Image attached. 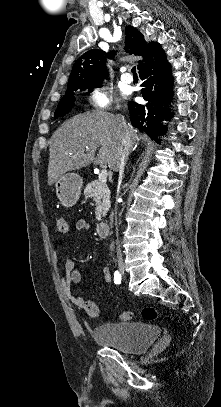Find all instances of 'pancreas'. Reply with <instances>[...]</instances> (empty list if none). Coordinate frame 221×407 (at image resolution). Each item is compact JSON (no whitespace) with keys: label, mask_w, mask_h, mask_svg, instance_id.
Masks as SVG:
<instances>
[{"label":"pancreas","mask_w":221,"mask_h":407,"mask_svg":"<svg viewBox=\"0 0 221 407\" xmlns=\"http://www.w3.org/2000/svg\"><path fill=\"white\" fill-rule=\"evenodd\" d=\"M110 194L107 184L97 180L89 183L84 189V195L93 198L96 204L95 215L97 221L102 220L111 206Z\"/></svg>","instance_id":"cf45deb5"}]
</instances>
